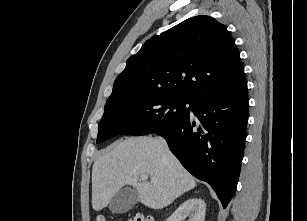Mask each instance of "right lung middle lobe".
I'll return each mask as SVG.
<instances>
[{
    "mask_svg": "<svg viewBox=\"0 0 307 221\" xmlns=\"http://www.w3.org/2000/svg\"><path fill=\"white\" fill-rule=\"evenodd\" d=\"M192 101L163 93L124 97L105 105L97 143L119 134L141 136L155 133L186 118ZM189 104V109L186 108Z\"/></svg>",
    "mask_w": 307,
    "mask_h": 221,
    "instance_id": "right-lung-middle-lobe-1",
    "label": "right lung middle lobe"
}]
</instances>
